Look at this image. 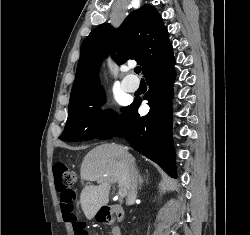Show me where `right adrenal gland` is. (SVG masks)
Masks as SVG:
<instances>
[{
    "label": "right adrenal gland",
    "mask_w": 250,
    "mask_h": 235,
    "mask_svg": "<svg viewBox=\"0 0 250 235\" xmlns=\"http://www.w3.org/2000/svg\"><path fill=\"white\" fill-rule=\"evenodd\" d=\"M136 173H137L138 180H139V189H141L142 184H143V182H144V178L140 175L138 169H136Z\"/></svg>",
    "instance_id": "1"
}]
</instances>
